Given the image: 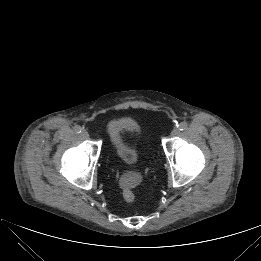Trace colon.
<instances>
[{"mask_svg": "<svg viewBox=\"0 0 261 261\" xmlns=\"http://www.w3.org/2000/svg\"><path fill=\"white\" fill-rule=\"evenodd\" d=\"M121 187H122V197H123V199L128 203L133 202L134 199H135V194L133 192V189H132L133 186H132L131 182L124 180L121 183Z\"/></svg>", "mask_w": 261, "mask_h": 261, "instance_id": "5ec220e1", "label": "colon"}]
</instances>
